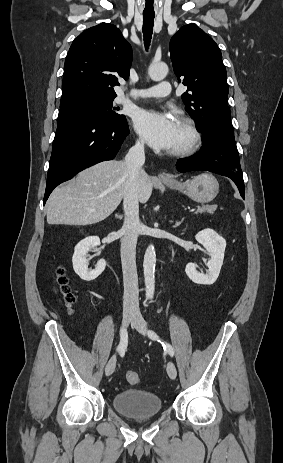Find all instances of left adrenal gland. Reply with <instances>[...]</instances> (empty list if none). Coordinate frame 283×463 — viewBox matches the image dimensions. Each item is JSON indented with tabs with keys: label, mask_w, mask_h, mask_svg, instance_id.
<instances>
[{
	"label": "left adrenal gland",
	"mask_w": 283,
	"mask_h": 463,
	"mask_svg": "<svg viewBox=\"0 0 283 463\" xmlns=\"http://www.w3.org/2000/svg\"><path fill=\"white\" fill-rule=\"evenodd\" d=\"M184 221V218H182L180 221L176 222L175 225H173L174 228L180 226Z\"/></svg>",
	"instance_id": "1"
}]
</instances>
